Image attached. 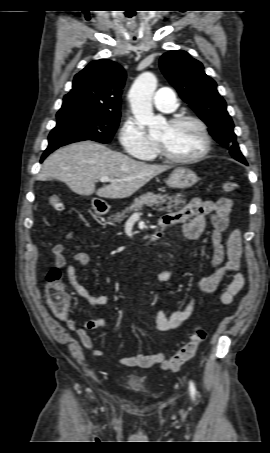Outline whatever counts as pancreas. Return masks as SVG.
Segmentation results:
<instances>
[{
	"label": "pancreas",
	"mask_w": 270,
	"mask_h": 453,
	"mask_svg": "<svg viewBox=\"0 0 270 453\" xmlns=\"http://www.w3.org/2000/svg\"><path fill=\"white\" fill-rule=\"evenodd\" d=\"M185 202L186 200L184 199V195L181 193H178L174 196H168L148 192L140 196L139 198H136L134 202L125 210L111 215L108 219L112 222L120 223L126 218V214L133 211H138L144 206L152 207L153 209L158 211H169L173 208H180V206L184 205ZM164 204L165 206H163Z\"/></svg>",
	"instance_id": "cf45deb5"
}]
</instances>
